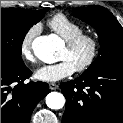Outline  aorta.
<instances>
[{
    "label": "aorta",
    "instance_id": "aorta-1",
    "mask_svg": "<svg viewBox=\"0 0 123 123\" xmlns=\"http://www.w3.org/2000/svg\"><path fill=\"white\" fill-rule=\"evenodd\" d=\"M59 42L52 35L36 37L32 42L34 54L45 63L56 61ZM46 104L50 109H61L65 105V98L59 92H51L46 96Z\"/></svg>",
    "mask_w": 123,
    "mask_h": 123
}]
</instances>
